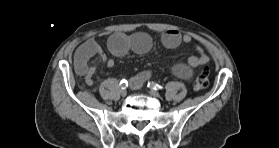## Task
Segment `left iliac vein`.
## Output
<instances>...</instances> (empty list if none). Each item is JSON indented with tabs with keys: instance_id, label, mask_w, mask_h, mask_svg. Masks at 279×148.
<instances>
[{
	"instance_id": "4c4485c4",
	"label": "left iliac vein",
	"mask_w": 279,
	"mask_h": 148,
	"mask_svg": "<svg viewBox=\"0 0 279 148\" xmlns=\"http://www.w3.org/2000/svg\"><path fill=\"white\" fill-rule=\"evenodd\" d=\"M149 94L156 97V98H160V94L156 90H150Z\"/></svg>"
}]
</instances>
